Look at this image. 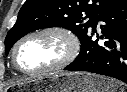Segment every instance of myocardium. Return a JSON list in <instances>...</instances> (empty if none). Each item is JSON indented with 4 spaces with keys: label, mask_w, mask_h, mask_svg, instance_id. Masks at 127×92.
<instances>
[{
    "label": "myocardium",
    "mask_w": 127,
    "mask_h": 92,
    "mask_svg": "<svg viewBox=\"0 0 127 92\" xmlns=\"http://www.w3.org/2000/svg\"><path fill=\"white\" fill-rule=\"evenodd\" d=\"M44 34H56V35L63 37L66 40L68 49H67L65 56L55 65H52L46 68H41V69H36V70L23 69L18 62V52H19L21 45L32 37L44 35ZM79 50H80L79 40L77 36L71 30H69L66 27H62V26H46V27H42V28L33 30L19 39V41L16 43L13 49L12 63L17 70L25 74L48 73V72L58 71V70H61L67 67L69 64H71L76 59L79 53Z\"/></svg>",
    "instance_id": "myocardium-1"
}]
</instances>
